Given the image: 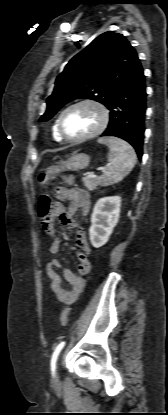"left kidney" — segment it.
Masks as SVG:
<instances>
[{
    "instance_id": "obj_1",
    "label": "left kidney",
    "mask_w": 168,
    "mask_h": 415,
    "mask_svg": "<svg viewBox=\"0 0 168 415\" xmlns=\"http://www.w3.org/2000/svg\"><path fill=\"white\" fill-rule=\"evenodd\" d=\"M121 207L119 196L100 198L93 209L89 237L91 244L99 248L107 243L116 226Z\"/></svg>"
}]
</instances>
